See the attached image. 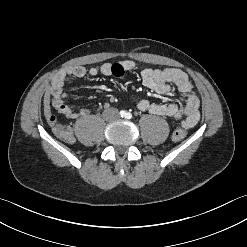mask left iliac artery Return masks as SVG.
<instances>
[{
	"instance_id": "44dca946",
	"label": "left iliac artery",
	"mask_w": 247,
	"mask_h": 247,
	"mask_svg": "<svg viewBox=\"0 0 247 247\" xmlns=\"http://www.w3.org/2000/svg\"><path fill=\"white\" fill-rule=\"evenodd\" d=\"M127 119H131L132 118V114L131 113H126V116H125Z\"/></svg>"
}]
</instances>
